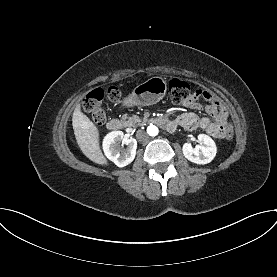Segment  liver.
<instances>
[{"instance_id":"liver-1","label":"liver","mask_w":277,"mask_h":277,"mask_svg":"<svg viewBox=\"0 0 277 277\" xmlns=\"http://www.w3.org/2000/svg\"><path fill=\"white\" fill-rule=\"evenodd\" d=\"M72 125L77 144L83 154L96 164L107 165L108 161L100 148L98 128L82 113L80 105L73 112Z\"/></svg>"}]
</instances>
